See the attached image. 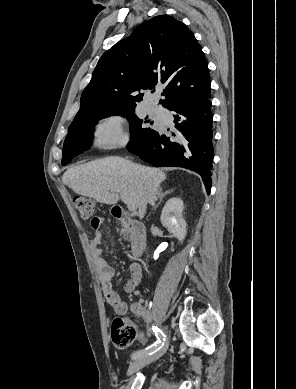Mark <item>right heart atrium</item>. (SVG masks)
<instances>
[{
    "mask_svg": "<svg viewBox=\"0 0 296 389\" xmlns=\"http://www.w3.org/2000/svg\"><path fill=\"white\" fill-rule=\"evenodd\" d=\"M93 141L99 147L123 145L127 141L123 118L117 114L102 118L94 127Z\"/></svg>",
    "mask_w": 296,
    "mask_h": 389,
    "instance_id": "right-heart-atrium-1",
    "label": "right heart atrium"
}]
</instances>
